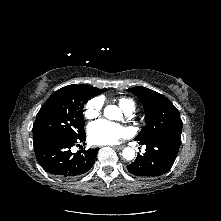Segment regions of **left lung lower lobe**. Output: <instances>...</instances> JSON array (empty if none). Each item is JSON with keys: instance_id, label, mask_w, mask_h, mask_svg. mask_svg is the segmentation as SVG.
Masks as SVG:
<instances>
[{"instance_id": "0a47b994", "label": "left lung lower lobe", "mask_w": 221, "mask_h": 221, "mask_svg": "<svg viewBox=\"0 0 221 221\" xmlns=\"http://www.w3.org/2000/svg\"><path fill=\"white\" fill-rule=\"evenodd\" d=\"M139 144L146 145L143 155L138 154L136 160L127 166L128 171L136 176L156 177L168 172L172 167L181 144V136L162 134Z\"/></svg>"}]
</instances>
